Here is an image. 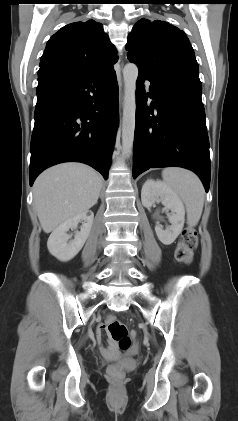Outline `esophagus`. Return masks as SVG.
Here are the masks:
<instances>
[{
  "label": "esophagus",
  "instance_id": "1",
  "mask_svg": "<svg viewBox=\"0 0 238 421\" xmlns=\"http://www.w3.org/2000/svg\"><path fill=\"white\" fill-rule=\"evenodd\" d=\"M119 100H120V105H122V101H123L122 83H121V91H120Z\"/></svg>",
  "mask_w": 238,
  "mask_h": 421
}]
</instances>
